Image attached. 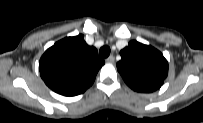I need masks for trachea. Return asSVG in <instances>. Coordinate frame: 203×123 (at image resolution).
<instances>
[{
    "mask_svg": "<svg viewBox=\"0 0 203 123\" xmlns=\"http://www.w3.org/2000/svg\"><path fill=\"white\" fill-rule=\"evenodd\" d=\"M99 55L101 58H107L110 55V48L108 46H103L99 50Z\"/></svg>",
    "mask_w": 203,
    "mask_h": 123,
    "instance_id": "3493384b",
    "label": "trachea"
}]
</instances>
